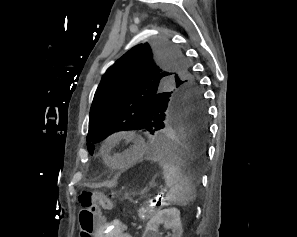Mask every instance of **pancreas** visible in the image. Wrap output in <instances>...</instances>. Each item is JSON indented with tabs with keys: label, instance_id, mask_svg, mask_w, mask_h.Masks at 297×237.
Returning <instances> with one entry per match:
<instances>
[{
	"label": "pancreas",
	"instance_id": "obj_1",
	"mask_svg": "<svg viewBox=\"0 0 297 237\" xmlns=\"http://www.w3.org/2000/svg\"><path fill=\"white\" fill-rule=\"evenodd\" d=\"M156 213V210L151 207H141L138 210V216L142 221H146L153 217Z\"/></svg>",
	"mask_w": 297,
	"mask_h": 237
}]
</instances>
